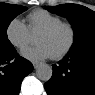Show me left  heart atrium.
<instances>
[{
  "label": "left heart atrium",
  "instance_id": "1",
  "mask_svg": "<svg viewBox=\"0 0 95 95\" xmlns=\"http://www.w3.org/2000/svg\"><path fill=\"white\" fill-rule=\"evenodd\" d=\"M22 55L33 61L46 59L52 56L49 48L44 44H37L36 46L25 48L22 51Z\"/></svg>",
  "mask_w": 95,
  "mask_h": 95
}]
</instances>
